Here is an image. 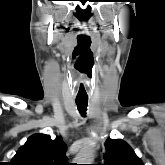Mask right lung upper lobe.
<instances>
[{
  "mask_svg": "<svg viewBox=\"0 0 165 165\" xmlns=\"http://www.w3.org/2000/svg\"><path fill=\"white\" fill-rule=\"evenodd\" d=\"M67 146L61 138L35 134L28 138L11 160V165H69Z\"/></svg>",
  "mask_w": 165,
  "mask_h": 165,
  "instance_id": "right-lung-upper-lobe-1",
  "label": "right lung upper lobe"
}]
</instances>
